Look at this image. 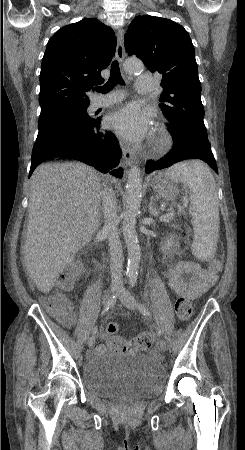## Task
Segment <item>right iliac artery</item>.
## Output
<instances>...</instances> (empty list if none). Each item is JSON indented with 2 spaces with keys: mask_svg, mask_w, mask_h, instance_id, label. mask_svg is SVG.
<instances>
[{
  "mask_svg": "<svg viewBox=\"0 0 245 450\" xmlns=\"http://www.w3.org/2000/svg\"><path fill=\"white\" fill-rule=\"evenodd\" d=\"M116 299H117V296L116 295H112L110 298H109V300L107 301V303H106V305H105V307H104V309H103V311H102V313H101V315L103 316L110 308H112L113 307V305L115 304V302H116ZM97 327H95L94 329H93V334H96L97 333Z\"/></svg>",
  "mask_w": 245,
  "mask_h": 450,
  "instance_id": "right-iliac-artery-1",
  "label": "right iliac artery"
}]
</instances>
